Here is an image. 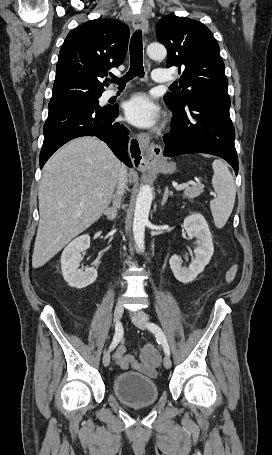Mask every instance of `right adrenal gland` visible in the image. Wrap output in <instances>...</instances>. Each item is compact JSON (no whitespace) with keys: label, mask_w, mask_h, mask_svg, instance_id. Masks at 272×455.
<instances>
[{"label":"right adrenal gland","mask_w":272,"mask_h":455,"mask_svg":"<svg viewBox=\"0 0 272 455\" xmlns=\"http://www.w3.org/2000/svg\"><path fill=\"white\" fill-rule=\"evenodd\" d=\"M120 208V202L118 200L113 202V205L107 208L104 214L107 216L109 220H114L117 215V209Z\"/></svg>","instance_id":"2a0ac1e0"}]
</instances>
